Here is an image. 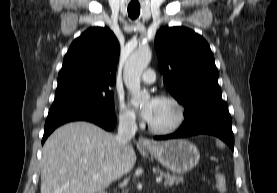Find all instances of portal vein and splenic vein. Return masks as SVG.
Returning a JSON list of instances; mask_svg holds the SVG:
<instances>
[{
    "label": "portal vein and splenic vein",
    "instance_id": "portal-vein-and-splenic-vein-1",
    "mask_svg": "<svg viewBox=\"0 0 277 193\" xmlns=\"http://www.w3.org/2000/svg\"><path fill=\"white\" fill-rule=\"evenodd\" d=\"M156 182H157V183L162 182V177H161V176L157 177V178H156Z\"/></svg>",
    "mask_w": 277,
    "mask_h": 193
}]
</instances>
